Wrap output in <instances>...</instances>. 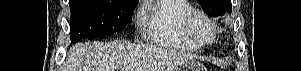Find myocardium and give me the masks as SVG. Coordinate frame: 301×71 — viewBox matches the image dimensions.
<instances>
[{
	"label": "myocardium",
	"mask_w": 301,
	"mask_h": 71,
	"mask_svg": "<svg viewBox=\"0 0 301 71\" xmlns=\"http://www.w3.org/2000/svg\"><path fill=\"white\" fill-rule=\"evenodd\" d=\"M202 19L207 22L212 29V37L209 41H201L195 33L194 23L196 19ZM182 27L185 35L198 47H206L213 44L217 37V28L212 18L202 10L192 8L187 11L182 17Z\"/></svg>",
	"instance_id": "myocardium-1"
}]
</instances>
